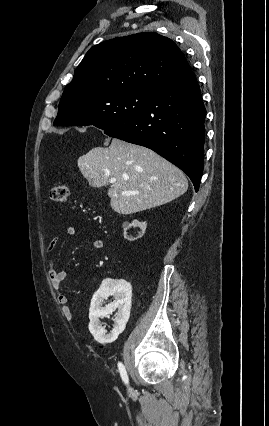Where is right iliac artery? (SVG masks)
Instances as JSON below:
<instances>
[{
	"mask_svg": "<svg viewBox=\"0 0 269 426\" xmlns=\"http://www.w3.org/2000/svg\"><path fill=\"white\" fill-rule=\"evenodd\" d=\"M118 369H119L122 380L124 381L125 384H128L129 383L128 375H127L125 366L121 362L118 363Z\"/></svg>",
	"mask_w": 269,
	"mask_h": 426,
	"instance_id": "1",
	"label": "right iliac artery"
}]
</instances>
